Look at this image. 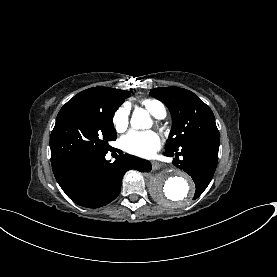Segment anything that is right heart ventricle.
Returning <instances> with one entry per match:
<instances>
[{"label":"right heart ventricle","instance_id":"right-heart-ventricle-1","mask_svg":"<svg viewBox=\"0 0 277 277\" xmlns=\"http://www.w3.org/2000/svg\"><path fill=\"white\" fill-rule=\"evenodd\" d=\"M141 104L147 109L148 112L157 118H160L165 110L163 105L156 100L145 99L141 102Z\"/></svg>","mask_w":277,"mask_h":277}]
</instances>
